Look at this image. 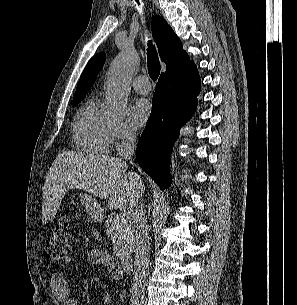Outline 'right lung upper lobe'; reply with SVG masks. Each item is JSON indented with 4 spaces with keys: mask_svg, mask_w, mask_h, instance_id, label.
I'll return each mask as SVG.
<instances>
[{
    "mask_svg": "<svg viewBox=\"0 0 297 305\" xmlns=\"http://www.w3.org/2000/svg\"><path fill=\"white\" fill-rule=\"evenodd\" d=\"M152 32L160 58L167 66L165 73L161 75H175L193 64L186 51L183 50L180 39L162 17L155 16L152 19ZM104 62L105 54L103 53L90 59L80 77L73 100L86 96V92L95 82Z\"/></svg>",
    "mask_w": 297,
    "mask_h": 305,
    "instance_id": "1",
    "label": "right lung upper lobe"
}]
</instances>
